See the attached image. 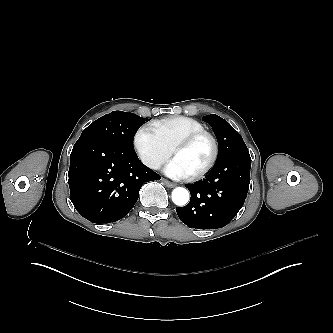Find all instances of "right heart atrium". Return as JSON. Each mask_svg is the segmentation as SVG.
<instances>
[{"mask_svg": "<svg viewBox=\"0 0 333 333\" xmlns=\"http://www.w3.org/2000/svg\"><path fill=\"white\" fill-rule=\"evenodd\" d=\"M134 147L139 158L151 170L160 169L171 153V149L150 125L143 126L137 132Z\"/></svg>", "mask_w": 333, "mask_h": 333, "instance_id": "d8ad5b80", "label": "right heart atrium"}]
</instances>
